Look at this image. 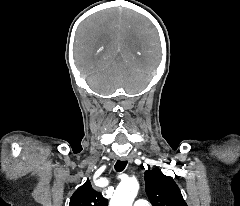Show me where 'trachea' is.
<instances>
[{"mask_svg":"<svg viewBox=\"0 0 240 206\" xmlns=\"http://www.w3.org/2000/svg\"><path fill=\"white\" fill-rule=\"evenodd\" d=\"M126 165H127V161L118 160L114 167L117 172H121L125 169Z\"/></svg>","mask_w":240,"mask_h":206,"instance_id":"1","label":"trachea"}]
</instances>
